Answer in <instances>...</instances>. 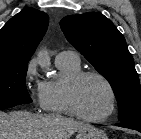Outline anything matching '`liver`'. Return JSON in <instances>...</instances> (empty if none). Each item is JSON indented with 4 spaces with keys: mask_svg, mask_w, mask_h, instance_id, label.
<instances>
[{
    "mask_svg": "<svg viewBox=\"0 0 141 139\" xmlns=\"http://www.w3.org/2000/svg\"><path fill=\"white\" fill-rule=\"evenodd\" d=\"M87 126L89 124L59 114L0 112V139H70Z\"/></svg>",
    "mask_w": 141,
    "mask_h": 139,
    "instance_id": "obj_1",
    "label": "liver"
}]
</instances>
